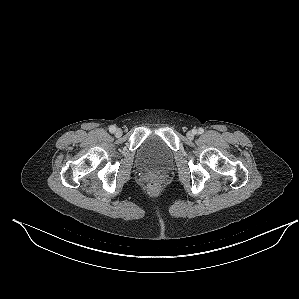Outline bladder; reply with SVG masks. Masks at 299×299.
<instances>
[{"label":"bladder","mask_w":299,"mask_h":299,"mask_svg":"<svg viewBox=\"0 0 299 299\" xmlns=\"http://www.w3.org/2000/svg\"><path fill=\"white\" fill-rule=\"evenodd\" d=\"M140 165L150 170H164L173 161V152L156 135H150L141 144L137 152Z\"/></svg>","instance_id":"1"}]
</instances>
